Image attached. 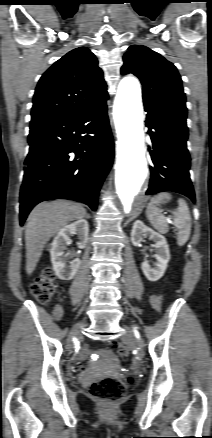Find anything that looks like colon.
Masks as SVG:
<instances>
[{
	"instance_id": "obj_1",
	"label": "colon",
	"mask_w": 212,
	"mask_h": 438,
	"mask_svg": "<svg viewBox=\"0 0 212 438\" xmlns=\"http://www.w3.org/2000/svg\"><path fill=\"white\" fill-rule=\"evenodd\" d=\"M57 281L52 268L47 267L42 270L31 286L33 296L41 303H47L55 294ZM112 347L116 349L118 355L126 359L129 355L128 348L119 341H113ZM133 377L126 380H120L113 377H105L91 384L89 388L90 395L101 402L104 406L110 407L115 402L122 399L126 393L127 386L132 384Z\"/></svg>"
}]
</instances>
